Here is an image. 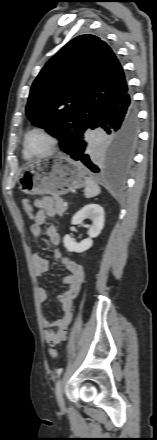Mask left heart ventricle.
Returning a JSON list of instances; mask_svg holds the SVG:
<instances>
[{"mask_svg": "<svg viewBox=\"0 0 157 440\" xmlns=\"http://www.w3.org/2000/svg\"><path fill=\"white\" fill-rule=\"evenodd\" d=\"M27 147L32 155L43 154L49 149V140L42 133L34 132L28 137Z\"/></svg>", "mask_w": 157, "mask_h": 440, "instance_id": "left-heart-ventricle-1", "label": "left heart ventricle"}]
</instances>
